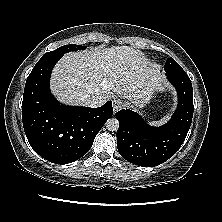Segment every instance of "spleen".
Segmentation results:
<instances>
[{
	"mask_svg": "<svg viewBox=\"0 0 222 222\" xmlns=\"http://www.w3.org/2000/svg\"><path fill=\"white\" fill-rule=\"evenodd\" d=\"M169 119H170V115H167V116L163 117L161 120H159V121H152L149 124L153 125V126H160V125H163V124L167 123V121Z\"/></svg>",
	"mask_w": 222,
	"mask_h": 222,
	"instance_id": "3e777b00",
	"label": "spleen"
}]
</instances>
